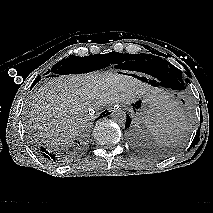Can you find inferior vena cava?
<instances>
[{"instance_id":"602c4592","label":"inferior vena cava","mask_w":213,"mask_h":213,"mask_svg":"<svg viewBox=\"0 0 213 213\" xmlns=\"http://www.w3.org/2000/svg\"><path fill=\"white\" fill-rule=\"evenodd\" d=\"M88 113H89V115L93 116L95 111H94V109L91 108V109H89Z\"/></svg>"}]
</instances>
